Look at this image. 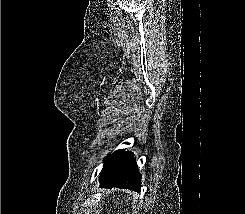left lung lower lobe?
<instances>
[{"mask_svg":"<svg viewBox=\"0 0 245 214\" xmlns=\"http://www.w3.org/2000/svg\"><path fill=\"white\" fill-rule=\"evenodd\" d=\"M140 186L141 174L131 152L117 150L105 158L100 173L101 188L118 187L140 191Z\"/></svg>","mask_w":245,"mask_h":214,"instance_id":"obj_1","label":"left lung lower lobe"}]
</instances>
